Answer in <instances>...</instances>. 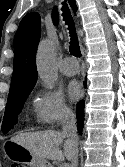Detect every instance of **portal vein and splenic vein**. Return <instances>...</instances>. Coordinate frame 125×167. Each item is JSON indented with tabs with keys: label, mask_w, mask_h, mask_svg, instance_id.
I'll return each instance as SVG.
<instances>
[{
	"label": "portal vein and splenic vein",
	"mask_w": 125,
	"mask_h": 167,
	"mask_svg": "<svg viewBox=\"0 0 125 167\" xmlns=\"http://www.w3.org/2000/svg\"><path fill=\"white\" fill-rule=\"evenodd\" d=\"M60 167H69V164H62Z\"/></svg>",
	"instance_id": "obj_1"
}]
</instances>
